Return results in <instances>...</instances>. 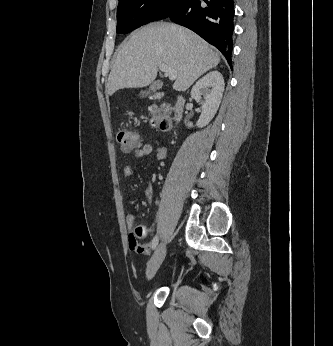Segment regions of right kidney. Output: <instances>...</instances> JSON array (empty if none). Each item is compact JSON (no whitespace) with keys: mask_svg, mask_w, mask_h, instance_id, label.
I'll use <instances>...</instances> for the list:
<instances>
[{"mask_svg":"<svg viewBox=\"0 0 333 346\" xmlns=\"http://www.w3.org/2000/svg\"><path fill=\"white\" fill-rule=\"evenodd\" d=\"M224 79L220 72L212 71L199 79L192 87L191 97L202 104V113L196 123L197 127L206 126L215 116L224 92ZM202 96L204 101H202ZM188 127H193L191 122Z\"/></svg>","mask_w":333,"mask_h":346,"instance_id":"1","label":"right kidney"}]
</instances>
